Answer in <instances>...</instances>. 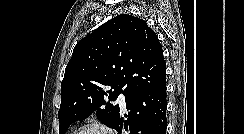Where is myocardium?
<instances>
[{
	"label": "myocardium",
	"instance_id": "1",
	"mask_svg": "<svg viewBox=\"0 0 244 134\" xmlns=\"http://www.w3.org/2000/svg\"><path fill=\"white\" fill-rule=\"evenodd\" d=\"M98 130L103 134H115V131L107 124L100 122V121H90L87 123L82 124L79 126L73 133L71 134H80L83 131L86 130Z\"/></svg>",
	"mask_w": 244,
	"mask_h": 134
}]
</instances>
